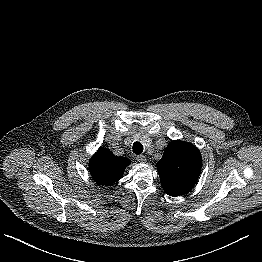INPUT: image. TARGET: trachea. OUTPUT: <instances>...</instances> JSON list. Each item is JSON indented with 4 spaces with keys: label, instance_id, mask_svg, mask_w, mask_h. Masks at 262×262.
Masks as SVG:
<instances>
[{
    "label": "trachea",
    "instance_id": "1",
    "mask_svg": "<svg viewBox=\"0 0 262 262\" xmlns=\"http://www.w3.org/2000/svg\"><path fill=\"white\" fill-rule=\"evenodd\" d=\"M132 149H133V153L134 154L139 155V154H141L143 152V145L140 142H135L133 144V148Z\"/></svg>",
    "mask_w": 262,
    "mask_h": 262
}]
</instances>
